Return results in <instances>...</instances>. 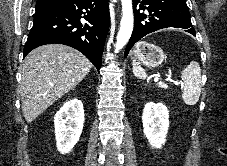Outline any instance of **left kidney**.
Returning a JSON list of instances; mask_svg holds the SVG:
<instances>
[{
    "label": "left kidney",
    "mask_w": 227,
    "mask_h": 166,
    "mask_svg": "<svg viewBox=\"0 0 227 166\" xmlns=\"http://www.w3.org/2000/svg\"><path fill=\"white\" fill-rule=\"evenodd\" d=\"M143 132L150 145L161 148L169 128V111L162 103H146L143 115Z\"/></svg>",
    "instance_id": "5707ae66"
}]
</instances>
